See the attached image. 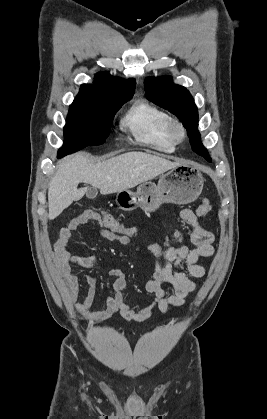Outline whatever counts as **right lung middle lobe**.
I'll use <instances>...</instances> for the list:
<instances>
[{
  "label": "right lung middle lobe",
  "instance_id": "right-lung-middle-lobe-1",
  "mask_svg": "<svg viewBox=\"0 0 267 419\" xmlns=\"http://www.w3.org/2000/svg\"><path fill=\"white\" fill-rule=\"evenodd\" d=\"M133 95L90 102H73L64 127V145L58 158L86 146L103 144L110 133L115 113Z\"/></svg>",
  "mask_w": 267,
  "mask_h": 419
}]
</instances>
